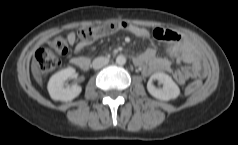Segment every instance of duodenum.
<instances>
[{
  "mask_svg": "<svg viewBox=\"0 0 238 145\" xmlns=\"http://www.w3.org/2000/svg\"><path fill=\"white\" fill-rule=\"evenodd\" d=\"M133 62H134V64H136V58H135V57L133 58ZM88 67H89V65H88ZM88 67H87V68H88ZM87 68H86V69H87Z\"/></svg>",
  "mask_w": 238,
  "mask_h": 145,
  "instance_id": "410a0bca",
  "label": "duodenum"
}]
</instances>
